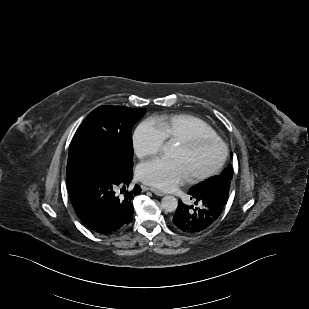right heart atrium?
Instances as JSON below:
<instances>
[{
    "label": "right heart atrium",
    "mask_w": 309,
    "mask_h": 309,
    "mask_svg": "<svg viewBox=\"0 0 309 309\" xmlns=\"http://www.w3.org/2000/svg\"><path fill=\"white\" fill-rule=\"evenodd\" d=\"M165 138L157 124L146 119L140 122L133 131L132 145L139 158L151 157L160 152Z\"/></svg>",
    "instance_id": "obj_1"
}]
</instances>
